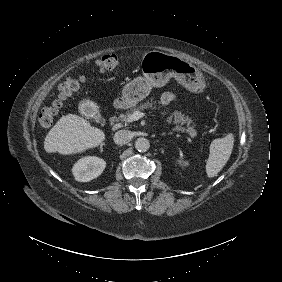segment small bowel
I'll list each match as a JSON object with an SVG mask.
<instances>
[{
	"label": "small bowel",
	"mask_w": 282,
	"mask_h": 282,
	"mask_svg": "<svg viewBox=\"0 0 282 282\" xmlns=\"http://www.w3.org/2000/svg\"><path fill=\"white\" fill-rule=\"evenodd\" d=\"M178 101V97L173 92H164L161 95V104L167 106L171 103H175Z\"/></svg>",
	"instance_id": "c3829d8e"
}]
</instances>
